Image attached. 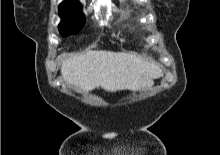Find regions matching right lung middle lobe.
I'll list each match as a JSON object with an SVG mask.
<instances>
[{
	"instance_id": "1",
	"label": "right lung middle lobe",
	"mask_w": 220,
	"mask_h": 155,
	"mask_svg": "<svg viewBox=\"0 0 220 155\" xmlns=\"http://www.w3.org/2000/svg\"><path fill=\"white\" fill-rule=\"evenodd\" d=\"M61 22L59 31L62 36L76 34L85 24V16L81 12V5L77 3H61L59 5Z\"/></svg>"
}]
</instances>
